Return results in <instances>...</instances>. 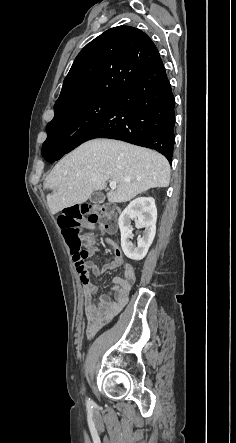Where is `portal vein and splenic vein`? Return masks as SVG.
I'll use <instances>...</instances> for the list:
<instances>
[{"label": "portal vein and splenic vein", "instance_id": "portal-vein-and-splenic-vein-1", "mask_svg": "<svg viewBox=\"0 0 236 443\" xmlns=\"http://www.w3.org/2000/svg\"><path fill=\"white\" fill-rule=\"evenodd\" d=\"M109 186H110V188H111L112 190H114V189H116L117 184H116V182L111 181V182L109 183Z\"/></svg>", "mask_w": 236, "mask_h": 443}]
</instances>
